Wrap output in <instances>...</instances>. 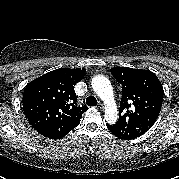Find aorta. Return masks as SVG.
Instances as JSON below:
<instances>
[{
  "label": "aorta",
  "mask_w": 179,
  "mask_h": 179,
  "mask_svg": "<svg viewBox=\"0 0 179 179\" xmlns=\"http://www.w3.org/2000/svg\"><path fill=\"white\" fill-rule=\"evenodd\" d=\"M94 92L106 104L105 119L108 123H115L118 117L117 106L114 101V93L111 82L102 75L95 76L91 82Z\"/></svg>",
  "instance_id": "obj_1"
}]
</instances>
